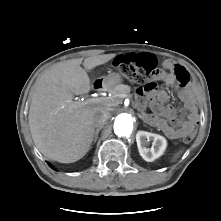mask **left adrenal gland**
I'll return each instance as SVG.
<instances>
[{
	"label": "left adrenal gland",
	"mask_w": 221,
	"mask_h": 221,
	"mask_svg": "<svg viewBox=\"0 0 221 221\" xmlns=\"http://www.w3.org/2000/svg\"><path fill=\"white\" fill-rule=\"evenodd\" d=\"M139 117L146 123L145 118L141 115H139Z\"/></svg>",
	"instance_id": "obj_1"
}]
</instances>
